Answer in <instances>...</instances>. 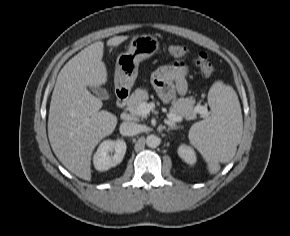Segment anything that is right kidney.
<instances>
[{
  "instance_id": "1",
  "label": "right kidney",
  "mask_w": 290,
  "mask_h": 236,
  "mask_svg": "<svg viewBox=\"0 0 290 236\" xmlns=\"http://www.w3.org/2000/svg\"><path fill=\"white\" fill-rule=\"evenodd\" d=\"M126 143L123 140L103 141L93 157V164L96 170L106 171L123 160L126 153ZM114 152L113 155L110 153Z\"/></svg>"
}]
</instances>
